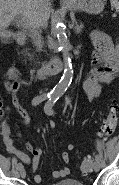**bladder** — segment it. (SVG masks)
<instances>
[{
    "mask_svg": "<svg viewBox=\"0 0 119 185\" xmlns=\"http://www.w3.org/2000/svg\"><path fill=\"white\" fill-rule=\"evenodd\" d=\"M52 185H85V184L76 179H64Z\"/></svg>",
    "mask_w": 119,
    "mask_h": 185,
    "instance_id": "31cf9c89",
    "label": "bladder"
}]
</instances>
